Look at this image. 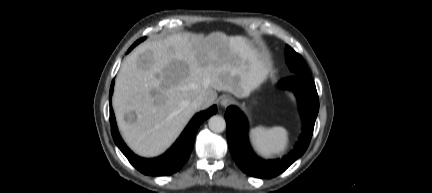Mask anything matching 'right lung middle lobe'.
Returning <instances> with one entry per match:
<instances>
[{
	"mask_svg": "<svg viewBox=\"0 0 432 193\" xmlns=\"http://www.w3.org/2000/svg\"><path fill=\"white\" fill-rule=\"evenodd\" d=\"M144 39H145V38H141V39H139L138 41H136L130 49H132L134 46H136L138 43H140V42L143 41ZM130 49H129V50H130Z\"/></svg>",
	"mask_w": 432,
	"mask_h": 193,
	"instance_id": "right-lung-middle-lobe-1",
	"label": "right lung middle lobe"
}]
</instances>
